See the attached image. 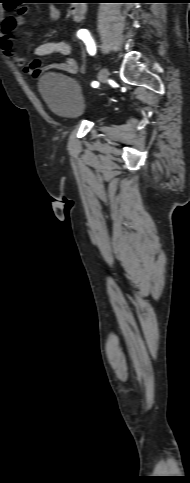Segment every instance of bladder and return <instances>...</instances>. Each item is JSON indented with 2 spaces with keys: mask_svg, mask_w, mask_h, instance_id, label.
<instances>
[{
  "mask_svg": "<svg viewBox=\"0 0 190 483\" xmlns=\"http://www.w3.org/2000/svg\"><path fill=\"white\" fill-rule=\"evenodd\" d=\"M39 92L47 106L65 120H79L87 113L83 90L70 76L45 73L39 80Z\"/></svg>",
  "mask_w": 190,
  "mask_h": 483,
  "instance_id": "bladder-1",
  "label": "bladder"
}]
</instances>
